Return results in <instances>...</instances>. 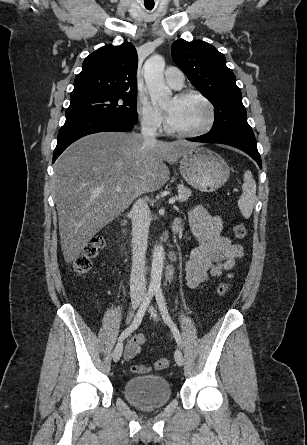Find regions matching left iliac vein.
<instances>
[{"label":"left iliac vein","instance_id":"obj_1","mask_svg":"<svg viewBox=\"0 0 307 445\" xmlns=\"http://www.w3.org/2000/svg\"><path fill=\"white\" fill-rule=\"evenodd\" d=\"M149 313H150V315H151V317L154 319V320H157V313H156V310L154 309V307L153 306H151L150 308H149ZM174 358H175V361H176V363L179 365V366H182L183 365V363H184V358H183V354H182V352L179 350V349H176V351H175V353H174Z\"/></svg>","mask_w":307,"mask_h":445}]
</instances>
